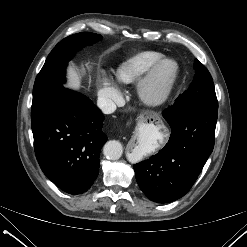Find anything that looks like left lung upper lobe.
Masks as SVG:
<instances>
[{
    "label": "left lung upper lobe",
    "instance_id": "obj_1",
    "mask_svg": "<svg viewBox=\"0 0 247 247\" xmlns=\"http://www.w3.org/2000/svg\"><path fill=\"white\" fill-rule=\"evenodd\" d=\"M194 68L196 73L193 82L184 93L178 96L174 104L176 105L189 99H197L218 108L214 84L209 71L197 59L194 62Z\"/></svg>",
    "mask_w": 247,
    "mask_h": 247
}]
</instances>
